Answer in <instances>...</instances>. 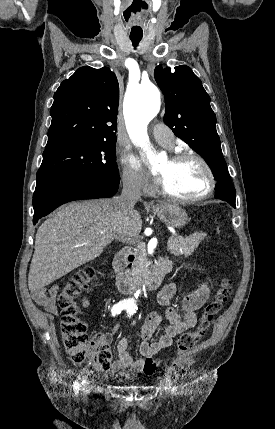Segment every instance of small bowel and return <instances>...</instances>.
Here are the masks:
<instances>
[{"mask_svg": "<svg viewBox=\"0 0 275 429\" xmlns=\"http://www.w3.org/2000/svg\"><path fill=\"white\" fill-rule=\"evenodd\" d=\"M176 287L174 283L166 284L158 294V303L161 310L151 312L145 319L141 327V342L139 344L140 357L133 359L128 351L129 342L126 337L119 340L117 344L118 358L112 365V373L118 376L131 377L136 373L145 372L148 360L163 349L170 347L173 339L192 328L197 323L196 311L200 309L208 300L210 288L207 283H203L196 291L186 295L181 301L180 310L172 307V299L175 295ZM58 287L52 286L45 290L42 288L32 291L33 300L48 312L57 313L55 298ZM84 307L89 306V299L85 297L82 301ZM163 320L168 322L160 337L151 342V338ZM119 330L118 325H114L109 331L100 333L96 338L109 341ZM146 373V372H145Z\"/></svg>", "mask_w": 275, "mask_h": 429, "instance_id": "obj_1", "label": "small bowel"}]
</instances>
